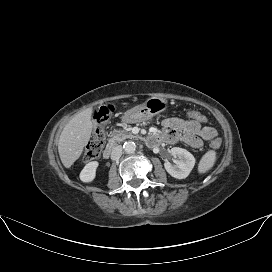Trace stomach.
<instances>
[{
    "mask_svg": "<svg viewBox=\"0 0 272 272\" xmlns=\"http://www.w3.org/2000/svg\"><path fill=\"white\" fill-rule=\"evenodd\" d=\"M167 106L168 101L166 99L150 97L143 104L126 111L122 116V121L125 123L143 122L164 111Z\"/></svg>",
    "mask_w": 272,
    "mask_h": 272,
    "instance_id": "stomach-1",
    "label": "stomach"
}]
</instances>
